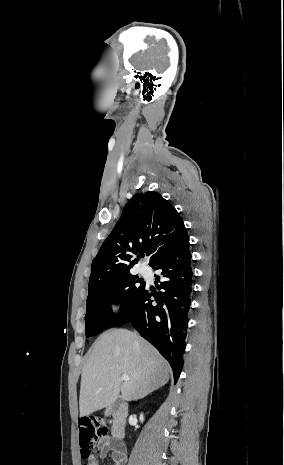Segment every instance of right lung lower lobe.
Wrapping results in <instances>:
<instances>
[{"label":"right lung lower lobe","mask_w":284,"mask_h":465,"mask_svg":"<svg viewBox=\"0 0 284 465\" xmlns=\"http://www.w3.org/2000/svg\"><path fill=\"white\" fill-rule=\"evenodd\" d=\"M189 237L177 249L161 258L152 268L158 292L145 287L127 309L110 326L131 323L170 363L175 382L183 367L190 305L193 293V271ZM155 297L156 303L150 299Z\"/></svg>","instance_id":"1"}]
</instances>
